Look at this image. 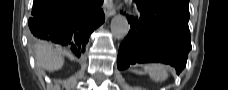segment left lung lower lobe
<instances>
[{"label":"left lung lower lobe","instance_id":"0a47b994","mask_svg":"<svg viewBox=\"0 0 228 90\" xmlns=\"http://www.w3.org/2000/svg\"><path fill=\"white\" fill-rule=\"evenodd\" d=\"M140 17H128L131 25L117 57L119 70L130 64L167 63L179 74L191 50L189 11L173 6L169 0H135ZM182 2V1H180Z\"/></svg>","mask_w":228,"mask_h":90}]
</instances>
